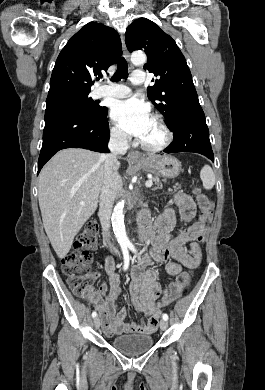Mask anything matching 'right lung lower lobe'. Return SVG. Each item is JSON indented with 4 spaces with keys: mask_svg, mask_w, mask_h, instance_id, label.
Masks as SVG:
<instances>
[{
    "mask_svg": "<svg viewBox=\"0 0 265 390\" xmlns=\"http://www.w3.org/2000/svg\"><path fill=\"white\" fill-rule=\"evenodd\" d=\"M107 113L93 118L75 110L45 111L43 144L38 160V173L59 150L84 148L107 153L110 137Z\"/></svg>",
    "mask_w": 265,
    "mask_h": 390,
    "instance_id": "obj_1",
    "label": "right lung lower lobe"
}]
</instances>
